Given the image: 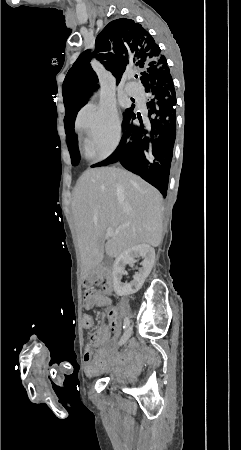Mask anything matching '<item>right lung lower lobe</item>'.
Returning a JSON list of instances; mask_svg holds the SVG:
<instances>
[{"label":"right lung lower lobe","mask_w":241,"mask_h":450,"mask_svg":"<svg viewBox=\"0 0 241 450\" xmlns=\"http://www.w3.org/2000/svg\"><path fill=\"white\" fill-rule=\"evenodd\" d=\"M150 101L147 103L149 124L134 125L132 112L122 121L123 135L117 149L93 167L120 162L127 170L139 175L167 194L173 146L176 137V96L167 65L152 66L140 77ZM77 112L65 115L64 126L69 148L78 151L74 133Z\"/></svg>","instance_id":"right-lung-lower-lobe-1"}]
</instances>
